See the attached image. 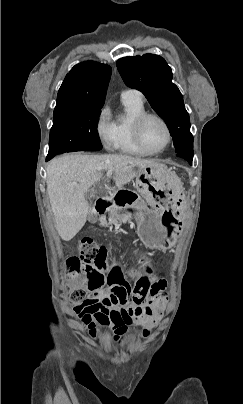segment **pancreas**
I'll return each instance as SVG.
<instances>
[{
  "label": "pancreas",
  "instance_id": "1",
  "mask_svg": "<svg viewBox=\"0 0 243 404\" xmlns=\"http://www.w3.org/2000/svg\"><path fill=\"white\" fill-rule=\"evenodd\" d=\"M134 219L132 213H122L120 208H110L109 214L105 215L104 220H100V226H111V224H121L126 225L131 220Z\"/></svg>",
  "mask_w": 243,
  "mask_h": 404
}]
</instances>
